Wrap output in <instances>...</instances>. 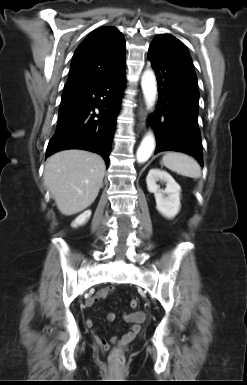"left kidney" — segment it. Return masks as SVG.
Instances as JSON below:
<instances>
[{
  "label": "left kidney",
  "mask_w": 247,
  "mask_h": 385,
  "mask_svg": "<svg viewBox=\"0 0 247 385\" xmlns=\"http://www.w3.org/2000/svg\"><path fill=\"white\" fill-rule=\"evenodd\" d=\"M158 180L166 182V188L161 190L156 184ZM147 188L154 193L157 210L166 218H174L180 210L181 188L173 177L166 171L151 169L146 177Z\"/></svg>",
  "instance_id": "left-kidney-1"
}]
</instances>
